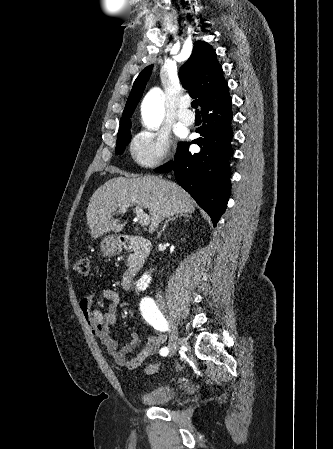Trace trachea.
<instances>
[{
  "label": "trachea",
  "instance_id": "1",
  "mask_svg": "<svg viewBox=\"0 0 333 449\" xmlns=\"http://www.w3.org/2000/svg\"><path fill=\"white\" fill-rule=\"evenodd\" d=\"M191 106H192V108L196 109V112H199V110H197V107H198V101L197 100L192 101Z\"/></svg>",
  "mask_w": 333,
  "mask_h": 449
}]
</instances>
